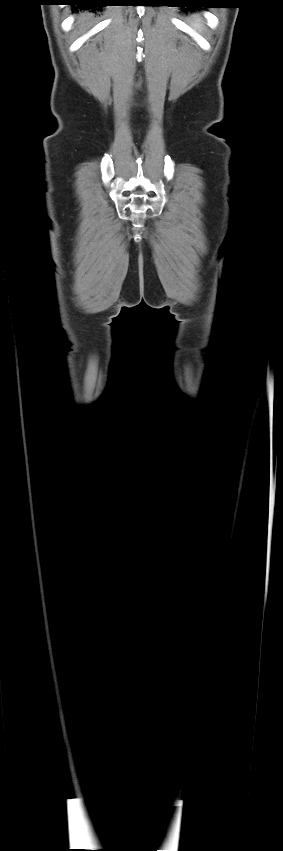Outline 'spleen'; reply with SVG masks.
<instances>
[{
    "instance_id": "spleen-1",
    "label": "spleen",
    "mask_w": 283,
    "mask_h": 851,
    "mask_svg": "<svg viewBox=\"0 0 283 851\" xmlns=\"http://www.w3.org/2000/svg\"><path fill=\"white\" fill-rule=\"evenodd\" d=\"M192 26H193L195 29L200 28V27H201L200 19H199V18L195 19V20H194V22H193V24H192Z\"/></svg>"
}]
</instances>
